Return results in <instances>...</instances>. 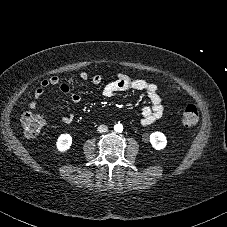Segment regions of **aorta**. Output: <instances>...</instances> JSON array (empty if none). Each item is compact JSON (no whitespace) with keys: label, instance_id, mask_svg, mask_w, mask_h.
<instances>
[{"label":"aorta","instance_id":"762f6f07","mask_svg":"<svg viewBox=\"0 0 227 227\" xmlns=\"http://www.w3.org/2000/svg\"><path fill=\"white\" fill-rule=\"evenodd\" d=\"M114 130L115 132L119 133V132H122L123 131V126L121 124H116L114 126Z\"/></svg>","mask_w":227,"mask_h":227}]
</instances>
